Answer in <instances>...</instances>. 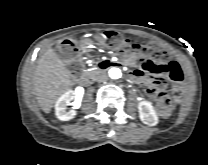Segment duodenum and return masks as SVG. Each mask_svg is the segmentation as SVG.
Masks as SVG:
<instances>
[{"instance_id": "1", "label": "duodenum", "mask_w": 208, "mask_h": 165, "mask_svg": "<svg viewBox=\"0 0 208 165\" xmlns=\"http://www.w3.org/2000/svg\"><path fill=\"white\" fill-rule=\"evenodd\" d=\"M109 67V64L107 62H102L98 65V70H106ZM97 72H95L94 74H96ZM94 77L93 75H83L81 77H79V82L82 85H88L93 81Z\"/></svg>"}]
</instances>
